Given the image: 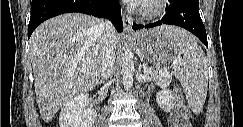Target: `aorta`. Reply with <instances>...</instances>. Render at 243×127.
<instances>
[{"instance_id":"obj_1","label":"aorta","mask_w":243,"mask_h":127,"mask_svg":"<svg viewBox=\"0 0 243 127\" xmlns=\"http://www.w3.org/2000/svg\"><path fill=\"white\" fill-rule=\"evenodd\" d=\"M134 71L135 69L132 52L129 48H126L122 63L123 86L125 90H129L133 85Z\"/></svg>"}]
</instances>
